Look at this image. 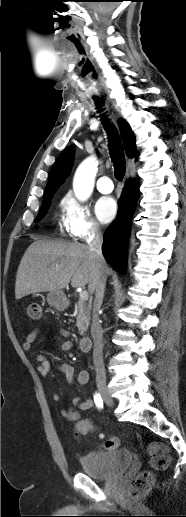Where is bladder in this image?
Wrapping results in <instances>:
<instances>
[{"instance_id":"bladder-1","label":"bladder","mask_w":186,"mask_h":517,"mask_svg":"<svg viewBox=\"0 0 186 517\" xmlns=\"http://www.w3.org/2000/svg\"><path fill=\"white\" fill-rule=\"evenodd\" d=\"M132 453L126 448L109 453L90 452L80 457L85 474L95 479H111L120 476L131 464Z\"/></svg>"}]
</instances>
